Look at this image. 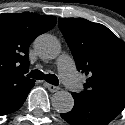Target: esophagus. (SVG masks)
<instances>
[{"label": "esophagus", "instance_id": "34e87169", "mask_svg": "<svg viewBox=\"0 0 125 125\" xmlns=\"http://www.w3.org/2000/svg\"><path fill=\"white\" fill-rule=\"evenodd\" d=\"M45 86L48 88L49 91L51 92H56L59 90V87L49 84V83H45Z\"/></svg>", "mask_w": 125, "mask_h": 125}]
</instances>
